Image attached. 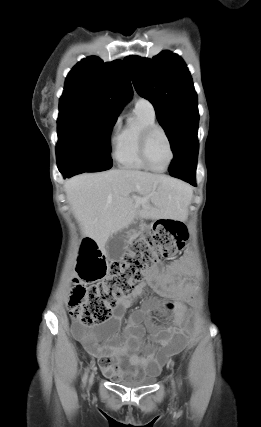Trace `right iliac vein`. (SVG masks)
Returning <instances> with one entry per match:
<instances>
[{"label":"right iliac vein","instance_id":"obj_1","mask_svg":"<svg viewBox=\"0 0 261 427\" xmlns=\"http://www.w3.org/2000/svg\"><path fill=\"white\" fill-rule=\"evenodd\" d=\"M92 381H93V375L91 376V378H90V383H92Z\"/></svg>","mask_w":261,"mask_h":427}]
</instances>
